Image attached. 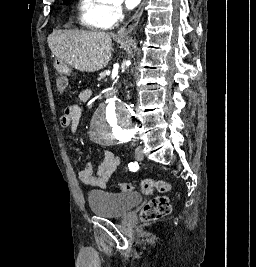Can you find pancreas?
Masks as SVG:
<instances>
[{"instance_id": "obj_1", "label": "pancreas", "mask_w": 256, "mask_h": 267, "mask_svg": "<svg viewBox=\"0 0 256 267\" xmlns=\"http://www.w3.org/2000/svg\"><path fill=\"white\" fill-rule=\"evenodd\" d=\"M101 78H105V74H100V80ZM112 94H115V92H112Z\"/></svg>"}]
</instances>
